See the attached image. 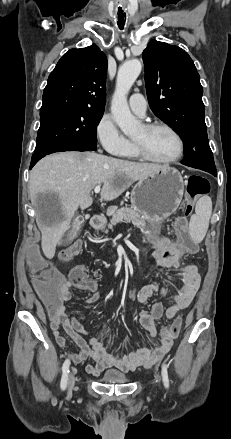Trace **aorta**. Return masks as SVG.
Instances as JSON below:
<instances>
[{"instance_id":"762f6f07","label":"aorta","mask_w":231,"mask_h":439,"mask_svg":"<svg viewBox=\"0 0 231 439\" xmlns=\"http://www.w3.org/2000/svg\"><path fill=\"white\" fill-rule=\"evenodd\" d=\"M141 69V62L138 59H132L122 64L117 74L111 112L115 122L127 136L134 135L139 128V122L130 112L127 94L139 76Z\"/></svg>"}]
</instances>
